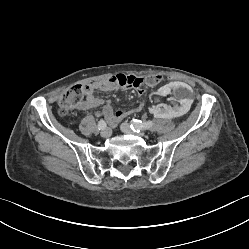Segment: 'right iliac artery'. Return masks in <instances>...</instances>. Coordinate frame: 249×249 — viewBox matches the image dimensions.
<instances>
[{
  "label": "right iliac artery",
  "instance_id": "right-iliac-artery-1",
  "mask_svg": "<svg viewBox=\"0 0 249 249\" xmlns=\"http://www.w3.org/2000/svg\"><path fill=\"white\" fill-rule=\"evenodd\" d=\"M105 127H106V122L104 120H100L98 123V128L100 130H103V129H105Z\"/></svg>",
  "mask_w": 249,
  "mask_h": 249
}]
</instances>
